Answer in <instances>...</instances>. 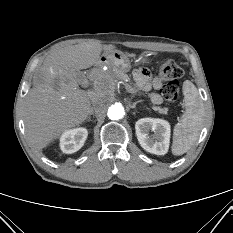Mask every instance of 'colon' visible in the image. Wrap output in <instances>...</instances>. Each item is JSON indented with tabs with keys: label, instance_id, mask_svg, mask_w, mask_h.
Returning <instances> with one entry per match:
<instances>
[{
	"label": "colon",
	"instance_id": "1",
	"mask_svg": "<svg viewBox=\"0 0 233 233\" xmlns=\"http://www.w3.org/2000/svg\"><path fill=\"white\" fill-rule=\"evenodd\" d=\"M183 69L171 59L165 60L159 67V76L167 83L162 87L161 94L165 100L175 102L178 99V79L183 77Z\"/></svg>",
	"mask_w": 233,
	"mask_h": 233
}]
</instances>
